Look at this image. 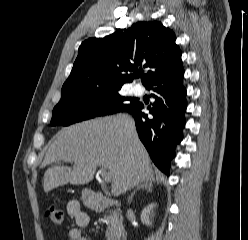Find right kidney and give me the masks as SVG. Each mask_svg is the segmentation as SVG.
Returning <instances> with one entry per match:
<instances>
[{"label": "right kidney", "instance_id": "1", "mask_svg": "<svg viewBox=\"0 0 248 240\" xmlns=\"http://www.w3.org/2000/svg\"><path fill=\"white\" fill-rule=\"evenodd\" d=\"M156 207V204L151 203L147 207H145L141 213V221L145 223L146 225H152V221H150V218L154 216L153 209Z\"/></svg>", "mask_w": 248, "mask_h": 240}]
</instances>
